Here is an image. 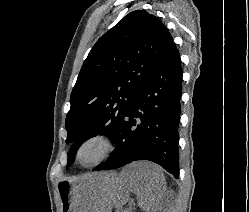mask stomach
Wrapping results in <instances>:
<instances>
[{
	"mask_svg": "<svg viewBox=\"0 0 249 212\" xmlns=\"http://www.w3.org/2000/svg\"><path fill=\"white\" fill-rule=\"evenodd\" d=\"M130 184H120L114 170H92V174L74 175V180H62L58 192L62 212H109L125 204Z\"/></svg>",
	"mask_w": 249,
	"mask_h": 212,
	"instance_id": "stomach-1",
	"label": "stomach"
}]
</instances>
